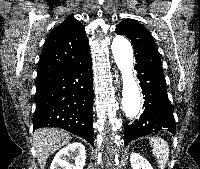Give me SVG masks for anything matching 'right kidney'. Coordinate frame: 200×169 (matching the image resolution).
<instances>
[{
	"mask_svg": "<svg viewBox=\"0 0 200 169\" xmlns=\"http://www.w3.org/2000/svg\"><path fill=\"white\" fill-rule=\"evenodd\" d=\"M85 161L86 152L84 145L74 142L56 154L50 169H83Z\"/></svg>",
	"mask_w": 200,
	"mask_h": 169,
	"instance_id": "ca27d5eb",
	"label": "right kidney"
}]
</instances>
